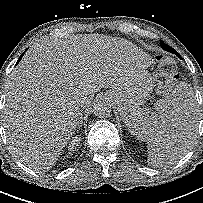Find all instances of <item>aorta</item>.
<instances>
[{"label": "aorta", "mask_w": 203, "mask_h": 203, "mask_svg": "<svg viewBox=\"0 0 203 203\" xmlns=\"http://www.w3.org/2000/svg\"><path fill=\"white\" fill-rule=\"evenodd\" d=\"M94 114L99 118H104L111 113V104L107 100H99L93 106Z\"/></svg>", "instance_id": "1"}]
</instances>
